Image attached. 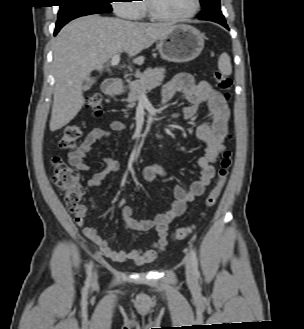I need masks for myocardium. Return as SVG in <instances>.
Instances as JSON below:
<instances>
[{
	"label": "myocardium",
	"instance_id": "myocardium-1",
	"mask_svg": "<svg viewBox=\"0 0 304 329\" xmlns=\"http://www.w3.org/2000/svg\"><path fill=\"white\" fill-rule=\"evenodd\" d=\"M145 4L149 16L156 21H163V22H179L189 19L195 16L201 7V1L194 0V6L192 10L189 11L188 13L178 16H169V15H164L157 10L154 4V0H145Z\"/></svg>",
	"mask_w": 304,
	"mask_h": 329
}]
</instances>
